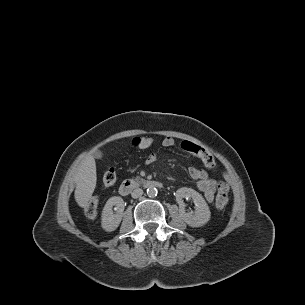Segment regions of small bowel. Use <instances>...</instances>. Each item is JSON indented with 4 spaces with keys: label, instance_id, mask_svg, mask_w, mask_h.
<instances>
[{
    "label": "small bowel",
    "instance_id": "1",
    "mask_svg": "<svg viewBox=\"0 0 305 305\" xmlns=\"http://www.w3.org/2000/svg\"><path fill=\"white\" fill-rule=\"evenodd\" d=\"M174 145L175 140L171 136H167L162 140V146L165 148H170ZM180 147L185 152L199 158L203 162L205 169L191 167L189 168V175L196 181V186L198 190L203 193L205 199L208 202H212L216 192V182L211 176L216 165L213 155L205 148L190 141L181 142ZM156 160L157 155L151 153L146 157L145 162L146 164H152Z\"/></svg>",
    "mask_w": 305,
    "mask_h": 305
}]
</instances>
